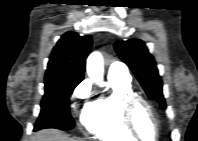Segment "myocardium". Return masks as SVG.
Returning <instances> with one entry per match:
<instances>
[{
    "label": "myocardium",
    "mask_w": 198,
    "mask_h": 141,
    "mask_svg": "<svg viewBox=\"0 0 198 141\" xmlns=\"http://www.w3.org/2000/svg\"><path fill=\"white\" fill-rule=\"evenodd\" d=\"M140 105L145 106L152 116V119L156 126V135H155L154 140H157L160 136V120H159L155 107L152 105V103L148 99H146L143 96L132 93V94L123 96L121 98L120 106H121V115H122L124 125L126 126L128 131L135 137V139L144 140L141 137L135 125L136 109Z\"/></svg>",
    "instance_id": "myocardium-1"
}]
</instances>
